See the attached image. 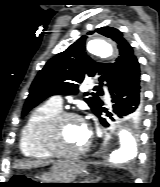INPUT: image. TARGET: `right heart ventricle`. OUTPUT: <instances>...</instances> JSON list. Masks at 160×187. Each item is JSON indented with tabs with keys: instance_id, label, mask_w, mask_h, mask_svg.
Returning a JSON list of instances; mask_svg holds the SVG:
<instances>
[{
	"instance_id": "right-heart-ventricle-1",
	"label": "right heart ventricle",
	"mask_w": 160,
	"mask_h": 187,
	"mask_svg": "<svg viewBox=\"0 0 160 187\" xmlns=\"http://www.w3.org/2000/svg\"><path fill=\"white\" fill-rule=\"evenodd\" d=\"M60 110L61 108L49 101L32 111L20 138V150L24 156L31 159H46L53 156L45 149L42 134L48 120Z\"/></svg>"
}]
</instances>
